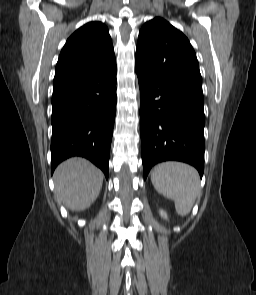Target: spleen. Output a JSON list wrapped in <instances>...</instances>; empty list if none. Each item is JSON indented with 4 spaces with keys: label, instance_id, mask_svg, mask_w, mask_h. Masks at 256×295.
I'll return each instance as SVG.
<instances>
[{
    "label": "spleen",
    "instance_id": "obj_1",
    "mask_svg": "<svg viewBox=\"0 0 256 295\" xmlns=\"http://www.w3.org/2000/svg\"><path fill=\"white\" fill-rule=\"evenodd\" d=\"M151 182L156 191L174 200L176 211L186 216L200 191L198 172L180 162H164L154 167Z\"/></svg>",
    "mask_w": 256,
    "mask_h": 295
}]
</instances>
